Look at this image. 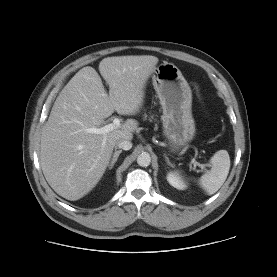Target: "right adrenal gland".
I'll list each match as a JSON object with an SVG mask.
<instances>
[{
	"label": "right adrenal gland",
	"instance_id": "obj_1",
	"mask_svg": "<svg viewBox=\"0 0 277 277\" xmlns=\"http://www.w3.org/2000/svg\"><path fill=\"white\" fill-rule=\"evenodd\" d=\"M121 153H122V150H117V151L114 152L113 157H112V159H111V162H110V164L108 165V168H109V169H112V168H113L114 164L116 163V161H117V159H118V157H119V155H120Z\"/></svg>",
	"mask_w": 277,
	"mask_h": 277
}]
</instances>
